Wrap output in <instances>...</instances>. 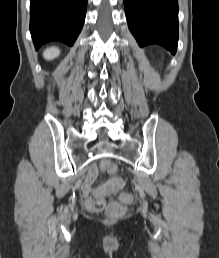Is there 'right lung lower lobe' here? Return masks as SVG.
<instances>
[{
    "label": "right lung lower lobe",
    "mask_w": 219,
    "mask_h": 258,
    "mask_svg": "<svg viewBox=\"0 0 219 258\" xmlns=\"http://www.w3.org/2000/svg\"><path fill=\"white\" fill-rule=\"evenodd\" d=\"M87 0H30V32L35 48L58 41L72 46L85 20Z\"/></svg>",
    "instance_id": "obj_1"
}]
</instances>
